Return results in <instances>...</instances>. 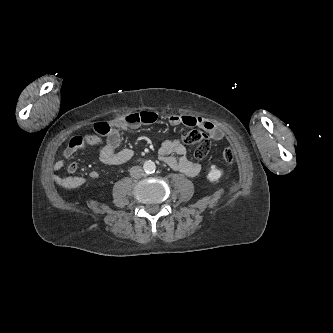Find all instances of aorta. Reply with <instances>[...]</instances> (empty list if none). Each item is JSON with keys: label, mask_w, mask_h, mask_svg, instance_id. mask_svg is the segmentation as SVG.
Returning <instances> with one entry per match:
<instances>
[{"label": "aorta", "mask_w": 333, "mask_h": 333, "mask_svg": "<svg viewBox=\"0 0 333 333\" xmlns=\"http://www.w3.org/2000/svg\"><path fill=\"white\" fill-rule=\"evenodd\" d=\"M143 169L146 173H154L156 170V165L153 161L151 160H146L143 164Z\"/></svg>", "instance_id": "1"}]
</instances>
